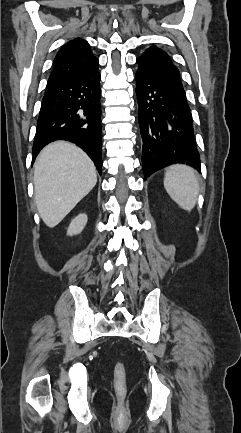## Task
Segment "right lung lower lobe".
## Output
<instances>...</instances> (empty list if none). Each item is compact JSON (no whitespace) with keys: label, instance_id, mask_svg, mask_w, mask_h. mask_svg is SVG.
I'll return each mask as SVG.
<instances>
[{"label":"right lung lower lobe","instance_id":"obj_1","mask_svg":"<svg viewBox=\"0 0 241 433\" xmlns=\"http://www.w3.org/2000/svg\"><path fill=\"white\" fill-rule=\"evenodd\" d=\"M100 73L90 70L47 84L37 122L33 156L48 143L77 144L102 171Z\"/></svg>","mask_w":241,"mask_h":433}]
</instances>
